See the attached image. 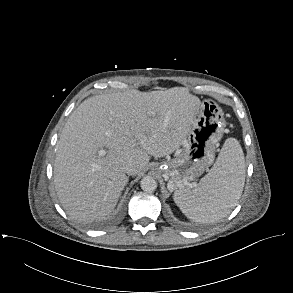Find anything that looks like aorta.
Here are the masks:
<instances>
[{"mask_svg":"<svg viewBox=\"0 0 293 293\" xmlns=\"http://www.w3.org/2000/svg\"><path fill=\"white\" fill-rule=\"evenodd\" d=\"M141 189L145 192H153L157 188V182L152 176H145L141 179Z\"/></svg>","mask_w":293,"mask_h":293,"instance_id":"obj_1","label":"aorta"}]
</instances>
